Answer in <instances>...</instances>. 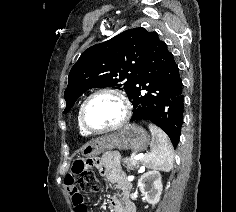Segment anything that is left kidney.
I'll return each instance as SVG.
<instances>
[{"label": "left kidney", "instance_id": "5707ae66", "mask_svg": "<svg viewBox=\"0 0 236 212\" xmlns=\"http://www.w3.org/2000/svg\"><path fill=\"white\" fill-rule=\"evenodd\" d=\"M138 187L143 200L153 207L159 202L162 193L161 174L158 171H148L138 180Z\"/></svg>", "mask_w": 236, "mask_h": 212}]
</instances>
